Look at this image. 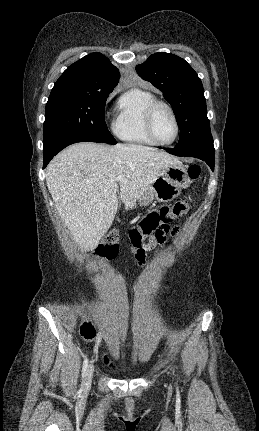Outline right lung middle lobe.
I'll use <instances>...</instances> for the list:
<instances>
[{
	"label": "right lung middle lobe",
	"instance_id": "right-lung-middle-lobe-1",
	"mask_svg": "<svg viewBox=\"0 0 259 431\" xmlns=\"http://www.w3.org/2000/svg\"><path fill=\"white\" fill-rule=\"evenodd\" d=\"M109 93L52 91L46 104L43 144L67 134L116 144L105 122L104 107Z\"/></svg>",
	"mask_w": 259,
	"mask_h": 431
}]
</instances>
